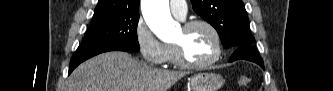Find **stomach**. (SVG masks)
I'll return each instance as SVG.
<instances>
[{
	"instance_id": "1",
	"label": "stomach",
	"mask_w": 333,
	"mask_h": 91,
	"mask_svg": "<svg viewBox=\"0 0 333 91\" xmlns=\"http://www.w3.org/2000/svg\"><path fill=\"white\" fill-rule=\"evenodd\" d=\"M224 83L221 75L216 73H200L190 79L192 91H218Z\"/></svg>"
}]
</instances>
